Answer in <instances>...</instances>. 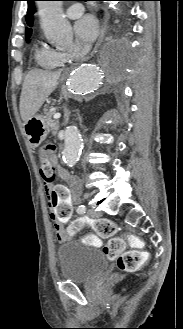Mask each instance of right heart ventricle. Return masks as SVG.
Returning a JSON list of instances; mask_svg holds the SVG:
<instances>
[{
    "label": "right heart ventricle",
    "mask_w": 183,
    "mask_h": 329,
    "mask_svg": "<svg viewBox=\"0 0 183 329\" xmlns=\"http://www.w3.org/2000/svg\"><path fill=\"white\" fill-rule=\"evenodd\" d=\"M64 60L63 53L47 45H41L35 52L36 63L45 69H53Z\"/></svg>",
    "instance_id": "e07e8e85"
}]
</instances>
